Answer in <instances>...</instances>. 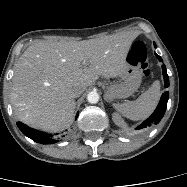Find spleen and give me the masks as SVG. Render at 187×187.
<instances>
[{
  "mask_svg": "<svg viewBox=\"0 0 187 187\" xmlns=\"http://www.w3.org/2000/svg\"><path fill=\"white\" fill-rule=\"evenodd\" d=\"M160 99V82H153L152 86L138 99L121 104H115L114 108L124 117L131 120H141L148 117L156 108Z\"/></svg>",
  "mask_w": 187,
  "mask_h": 187,
  "instance_id": "3e777b00",
  "label": "spleen"
}]
</instances>
